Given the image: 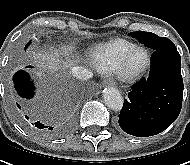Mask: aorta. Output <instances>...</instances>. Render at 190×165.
<instances>
[{"label": "aorta", "mask_w": 190, "mask_h": 165, "mask_svg": "<svg viewBox=\"0 0 190 165\" xmlns=\"http://www.w3.org/2000/svg\"><path fill=\"white\" fill-rule=\"evenodd\" d=\"M103 99L112 110L120 111L123 107V97L114 87H108L103 90Z\"/></svg>", "instance_id": "1"}]
</instances>
